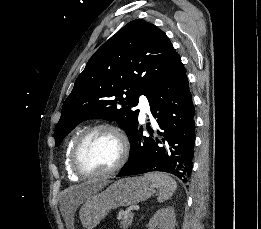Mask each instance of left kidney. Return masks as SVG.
<instances>
[{
  "mask_svg": "<svg viewBox=\"0 0 261 229\" xmlns=\"http://www.w3.org/2000/svg\"><path fill=\"white\" fill-rule=\"evenodd\" d=\"M176 217L172 207L159 209L149 221L148 229H175Z\"/></svg>",
  "mask_w": 261,
  "mask_h": 229,
  "instance_id": "obj_1",
  "label": "left kidney"
}]
</instances>
